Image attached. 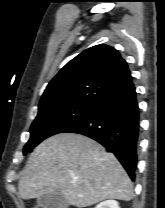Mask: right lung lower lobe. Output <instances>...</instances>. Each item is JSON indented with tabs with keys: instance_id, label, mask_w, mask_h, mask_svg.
Masks as SVG:
<instances>
[{
	"instance_id": "right-lung-lower-lobe-1",
	"label": "right lung lower lobe",
	"mask_w": 165,
	"mask_h": 208,
	"mask_svg": "<svg viewBox=\"0 0 165 208\" xmlns=\"http://www.w3.org/2000/svg\"><path fill=\"white\" fill-rule=\"evenodd\" d=\"M66 132L83 134L102 144L135 179L139 107L132 81L98 101L83 120Z\"/></svg>"
}]
</instances>
